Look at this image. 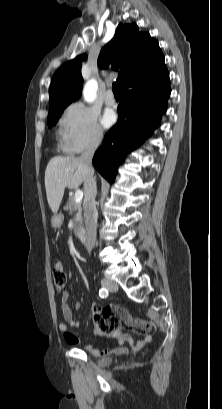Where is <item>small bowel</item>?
<instances>
[{
    "mask_svg": "<svg viewBox=\"0 0 222 409\" xmlns=\"http://www.w3.org/2000/svg\"><path fill=\"white\" fill-rule=\"evenodd\" d=\"M70 294L63 292L61 295V312L63 322L58 324V329L62 332L64 340L71 346H77L80 344V339L71 333L68 328L77 329L80 326V322L73 315V308L70 303ZM76 309L80 308V304L75 305ZM112 318L119 324V329L133 331L138 334H143V338L134 342L128 334H121L119 338L120 346L113 349H96L92 346H87L86 350L93 356H104L109 354L123 355L128 352V348L124 346V343H129L135 350L142 348L145 344L151 341L150 332L156 329V325L153 322H147L143 320L132 319L131 316L122 308L112 307Z\"/></svg>",
    "mask_w": 222,
    "mask_h": 409,
    "instance_id": "small-bowel-1",
    "label": "small bowel"
}]
</instances>
